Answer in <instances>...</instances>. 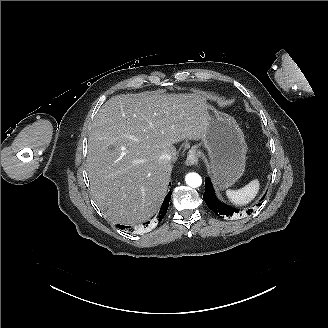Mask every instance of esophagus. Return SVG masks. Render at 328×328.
Returning <instances> with one entry per match:
<instances>
[{"instance_id":"34e87169","label":"esophagus","mask_w":328,"mask_h":328,"mask_svg":"<svg viewBox=\"0 0 328 328\" xmlns=\"http://www.w3.org/2000/svg\"><path fill=\"white\" fill-rule=\"evenodd\" d=\"M187 166H193L198 164V156L194 149L189 150L187 158L185 160Z\"/></svg>"}]
</instances>
